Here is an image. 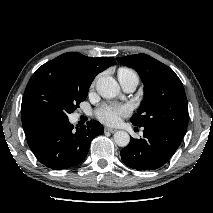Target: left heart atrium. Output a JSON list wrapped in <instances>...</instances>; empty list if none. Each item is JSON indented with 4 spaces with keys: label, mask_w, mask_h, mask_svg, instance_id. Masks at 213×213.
<instances>
[{
    "label": "left heart atrium",
    "mask_w": 213,
    "mask_h": 213,
    "mask_svg": "<svg viewBox=\"0 0 213 213\" xmlns=\"http://www.w3.org/2000/svg\"><path fill=\"white\" fill-rule=\"evenodd\" d=\"M129 114V108L124 105H102L96 112L98 119L106 124L115 125L121 117Z\"/></svg>",
    "instance_id": "left-heart-atrium-1"
}]
</instances>
